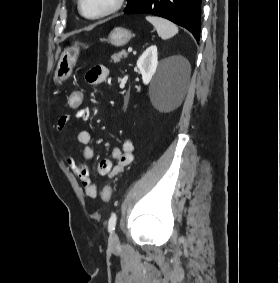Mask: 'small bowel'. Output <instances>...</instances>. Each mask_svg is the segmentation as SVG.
I'll return each mask as SVG.
<instances>
[{
  "label": "small bowel",
  "mask_w": 280,
  "mask_h": 283,
  "mask_svg": "<svg viewBox=\"0 0 280 283\" xmlns=\"http://www.w3.org/2000/svg\"><path fill=\"white\" fill-rule=\"evenodd\" d=\"M109 71L105 67H96L89 71L86 75L87 82L92 86H99L106 80ZM75 116L79 120H87L90 117L88 108H77ZM70 122V117L62 116L57 123V130L62 131ZM77 139L83 145L82 156L84 160H92L95 157V151L90 146L91 135L88 131L82 130L78 133ZM133 160V144L130 140H125L122 147H115L111 156L101 159L97 164V172L100 176L106 177L108 180L114 179L120 174L124 167L129 165ZM66 164L73 173L80 179L85 194L90 197H96L98 187L90 178V169L87 164L79 162L73 157L66 158Z\"/></svg>",
  "instance_id": "c3829d8e"
}]
</instances>
